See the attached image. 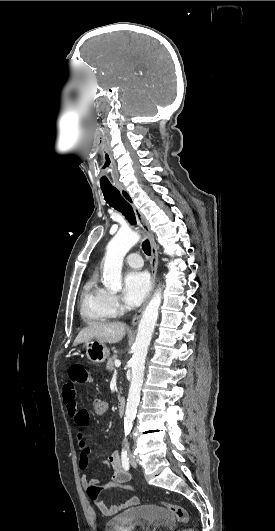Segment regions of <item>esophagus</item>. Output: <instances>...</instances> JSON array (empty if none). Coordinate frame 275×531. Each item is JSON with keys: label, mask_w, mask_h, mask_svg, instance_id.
I'll return each instance as SVG.
<instances>
[{"label": "esophagus", "mask_w": 275, "mask_h": 531, "mask_svg": "<svg viewBox=\"0 0 275 531\" xmlns=\"http://www.w3.org/2000/svg\"><path fill=\"white\" fill-rule=\"evenodd\" d=\"M115 186L120 191L121 196H123V198L126 199V201H128L129 203L132 204V206L134 208V212H135L136 218H137V221H138L141 229L149 237L150 246H151V259H150L151 290H150V293H149L147 299L145 300L144 304L139 309V311H137V313L135 314V316L132 319V326H135L138 323V321L140 320V317H141V315L143 313V310L145 309V307H146V305H147V303H148V301H149V299H150V297L152 295V291L154 289L155 277H156V272H157V267H158V252H157V247H156V243H155L153 232L150 229L149 223L146 220L145 216L134 206L132 198L130 197V195L126 191V189L122 186V184H116Z\"/></svg>", "instance_id": "34e87169"}]
</instances>
